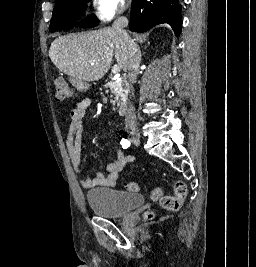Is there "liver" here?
<instances>
[{
    "mask_svg": "<svg viewBox=\"0 0 256 267\" xmlns=\"http://www.w3.org/2000/svg\"><path fill=\"white\" fill-rule=\"evenodd\" d=\"M129 44L113 28L60 36L52 42L49 58L54 66L68 74L71 82H97L107 74L112 58L127 72Z\"/></svg>",
    "mask_w": 256,
    "mask_h": 267,
    "instance_id": "obj_1",
    "label": "liver"
}]
</instances>
